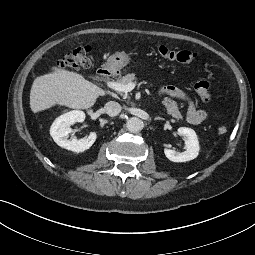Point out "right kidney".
Returning <instances> with one entry per match:
<instances>
[{
  "instance_id": "obj_1",
  "label": "right kidney",
  "mask_w": 255,
  "mask_h": 255,
  "mask_svg": "<svg viewBox=\"0 0 255 255\" xmlns=\"http://www.w3.org/2000/svg\"><path fill=\"white\" fill-rule=\"evenodd\" d=\"M85 120V114L83 111L73 110L67 112L53 122L50 128V135L57 145L67 150L80 153L89 149L96 141L97 134L90 132L88 137H84L80 140L75 138L68 139L69 134L72 133L70 125L76 122H83Z\"/></svg>"
}]
</instances>
